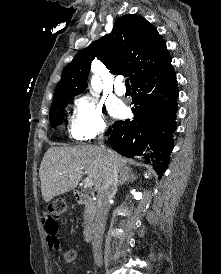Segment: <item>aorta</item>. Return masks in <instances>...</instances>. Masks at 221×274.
I'll return each instance as SVG.
<instances>
[{
	"label": "aorta",
	"instance_id": "obj_1",
	"mask_svg": "<svg viewBox=\"0 0 221 274\" xmlns=\"http://www.w3.org/2000/svg\"><path fill=\"white\" fill-rule=\"evenodd\" d=\"M91 86L96 93H99L101 91V82L98 76L95 75L92 77Z\"/></svg>",
	"mask_w": 221,
	"mask_h": 274
}]
</instances>
